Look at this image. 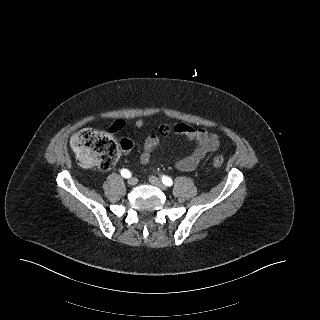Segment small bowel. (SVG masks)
<instances>
[{
  "label": "small bowel",
  "instance_id": "obj_1",
  "mask_svg": "<svg viewBox=\"0 0 320 320\" xmlns=\"http://www.w3.org/2000/svg\"><path fill=\"white\" fill-rule=\"evenodd\" d=\"M119 124V131L122 128V122ZM135 127L141 129L144 126V121L138 119L135 121ZM170 133H176L185 136L187 139L195 141L196 147L193 152L176 161L175 166L180 171H192L197 168L200 161L209 153L216 151L219 148V137L216 133L207 129L193 127L185 123L162 124L159 127V134L167 136ZM160 139L156 134L148 135L143 143V152L140 156V163L147 165L150 163L152 153L159 145Z\"/></svg>",
  "mask_w": 320,
  "mask_h": 320
}]
</instances>
